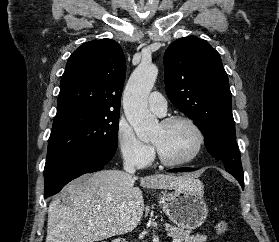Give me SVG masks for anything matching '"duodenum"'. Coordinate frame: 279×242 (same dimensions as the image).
Masks as SVG:
<instances>
[{
    "mask_svg": "<svg viewBox=\"0 0 279 242\" xmlns=\"http://www.w3.org/2000/svg\"><path fill=\"white\" fill-rule=\"evenodd\" d=\"M113 242H126L124 239H115Z\"/></svg>",
    "mask_w": 279,
    "mask_h": 242,
    "instance_id": "obj_1",
    "label": "duodenum"
}]
</instances>
